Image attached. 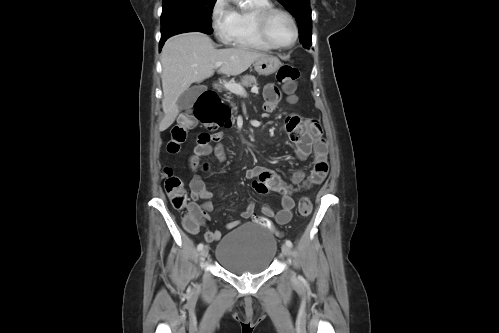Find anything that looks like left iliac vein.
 I'll return each instance as SVG.
<instances>
[{"instance_id":"4c4485c4","label":"left iliac vein","mask_w":499,"mask_h":333,"mask_svg":"<svg viewBox=\"0 0 499 333\" xmlns=\"http://www.w3.org/2000/svg\"><path fill=\"white\" fill-rule=\"evenodd\" d=\"M282 254L286 257H289L291 255V250L290 247L287 246L286 244H283L281 246Z\"/></svg>"}]
</instances>
